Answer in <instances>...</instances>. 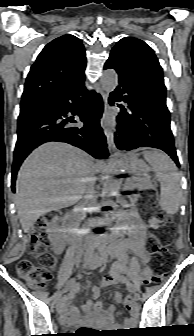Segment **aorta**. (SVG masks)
<instances>
[{"label": "aorta", "instance_id": "obj_1", "mask_svg": "<svg viewBox=\"0 0 194 336\" xmlns=\"http://www.w3.org/2000/svg\"><path fill=\"white\" fill-rule=\"evenodd\" d=\"M118 83V76L112 69L105 70L101 76V85L107 93L112 92ZM124 172V164L122 162H115L111 165L109 175L104 183V200L103 204L106 206L116 205L115 198L119 196L121 187L120 175Z\"/></svg>", "mask_w": 194, "mask_h": 336}]
</instances>
